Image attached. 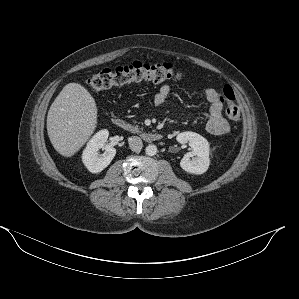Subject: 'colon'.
Returning a JSON list of instances; mask_svg holds the SVG:
<instances>
[{"mask_svg": "<svg viewBox=\"0 0 299 299\" xmlns=\"http://www.w3.org/2000/svg\"><path fill=\"white\" fill-rule=\"evenodd\" d=\"M182 77L183 74L180 69L171 63L150 65L142 62H134L113 70L104 69L95 73L89 79V85L94 90L100 91L135 81L146 80L160 83L166 80H178ZM219 100L225 104L227 117L233 121H237L240 117V110L231 86L226 85L223 87Z\"/></svg>", "mask_w": 299, "mask_h": 299, "instance_id": "obj_1", "label": "colon"}]
</instances>
